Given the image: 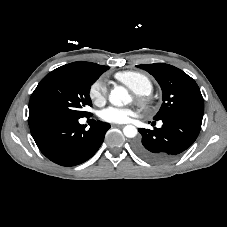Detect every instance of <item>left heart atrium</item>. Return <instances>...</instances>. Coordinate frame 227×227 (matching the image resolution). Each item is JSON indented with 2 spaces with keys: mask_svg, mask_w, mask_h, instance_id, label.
<instances>
[{
  "mask_svg": "<svg viewBox=\"0 0 227 227\" xmlns=\"http://www.w3.org/2000/svg\"><path fill=\"white\" fill-rule=\"evenodd\" d=\"M135 110L124 107H108L101 113L104 121L115 124H122L128 122L134 115Z\"/></svg>",
  "mask_w": 227,
  "mask_h": 227,
  "instance_id": "left-heart-atrium-1",
  "label": "left heart atrium"
}]
</instances>
